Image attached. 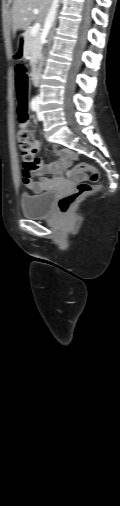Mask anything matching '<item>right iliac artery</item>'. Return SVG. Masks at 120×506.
I'll list each match as a JSON object with an SVG mask.
<instances>
[{
    "label": "right iliac artery",
    "mask_w": 120,
    "mask_h": 506,
    "mask_svg": "<svg viewBox=\"0 0 120 506\" xmlns=\"http://www.w3.org/2000/svg\"><path fill=\"white\" fill-rule=\"evenodd\" d=\"M31 109H32V111H37V109H38V103L35 98H33L31 101Z\"/></svg>",
    "instance_id": "obj_1"
}]
</instances>
